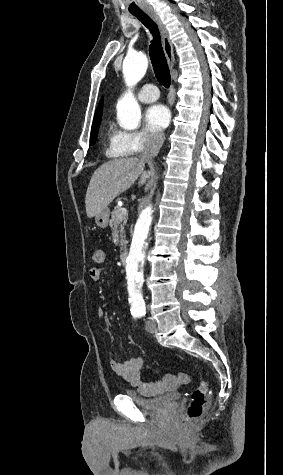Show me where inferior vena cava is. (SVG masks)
<instances>
[{
	"instance_id": "602c4592",
	"label": "inferior vena cava",
	"mask_w": 283,
	"mask_h": 475,
	"mask_svg": "<svg viewBox=\"0 0 283 475\" xmlns=\"http://www.w3.org/2000/svg\"><path fill=\"white\" fill-rule=\"evenodd\" d=\"M146 138L145 150L143 154H141L140 160L147 162L150 168L149 176H153L155 172L153 160L158 156L159 150L164 144L165 136L163 132H147Z\"/></svg>"
}]
</instances>
